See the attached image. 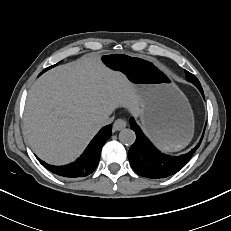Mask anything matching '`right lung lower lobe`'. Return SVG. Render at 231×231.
I'll use <instances>...</instances> for the list:
<instances>
[{"label": "right lung lower lobe", "instance_id": "right-lung-lower-lobe-1", "mask_svg": "<svg viewBox=\"0 0 231 231\" xmlns=\"http://www.w3.org/2000/svg\"><path fill=\"white\" fill-rule=\"evenodd\" d=\"M111 130V125L103 127L90 142L82 156L69 165L52 166L41 160L39 162L52 173L62 177L76 178L87 176L96 169L102 146L110 138Z\"/></svg>", "mask_w": 231, "mask_h": 231}]
</instances>
